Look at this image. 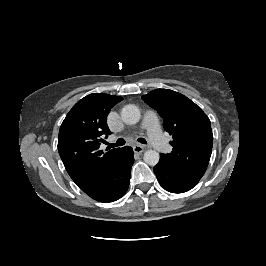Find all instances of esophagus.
I'll return each instance as SVG.
<instances>
[{"instance_id":"obj_1","label":"esophagus","mask_w":266,"mask_h":266,"mask_svg":"<svg viewBox=\"0 0 266 266\" xmlns=\"http://www.w3.org/2000/svg\"><path fill=\"white\" fill-rule=\"evenodd\" d=\"M133 150L135 153L140 154L144 151V146L140 144H136L133 146Z\"/></svg>"}]
</instances>
